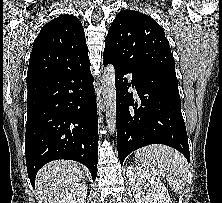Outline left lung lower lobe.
<instances>
[{"mask_svg": "<svg viewBox=\"0 0 222 203\" xmlns=\"http://www.w3.org/2000/svg\"><path fill=\"white\" fill-rule=\"evenodd\" d=\"M103 64L116 70V126L118 157L122 165L132 151L149 144H164L190 159L176 75L163 71L138 70L103 55ZM132 81L128 82L127 74ZM137 88L138 99L128 92Z\"/></svg>", "mask_w": 222, "mask_h": 203, "instance_id": "1", "label": "left lung lower lobe"}]
</instances>
